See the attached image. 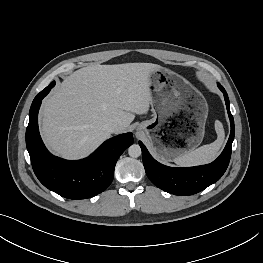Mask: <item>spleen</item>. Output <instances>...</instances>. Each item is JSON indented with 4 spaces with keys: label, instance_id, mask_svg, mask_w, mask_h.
Here are the masks:
<instances>
[{
    "label": "spleen",
    "instance_id": "1",
    "mask_svg": "<svg viewBox=\"0 0 263 263\" xmlns=\"http://www.w3.org/2000/svg\"><path fill=\"white\" fill-rule=\"evenodd\" d=\"M215 131L217 139L214 142L179 156L173 162L181 167L197 166L212 162L218 156L225 139L224 128L219 120L215 121Z\"/></svg>",
    "mask_w": 263,
    "mask_h": 263
}]
</instances>
